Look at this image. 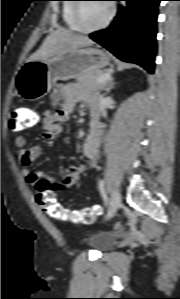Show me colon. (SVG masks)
<instances>
[{
  "instance_id": "obj_1",
  "label": "colon",
  "mask_w": 180,
  "mask_h": 299,
  "mask_svg": "<svg viewBox=\"0 0 180 299\" xmlns=\"http://www.w3.org/2000/svg\"><path fill=\"white\" fill-rule=\"evenodd\" d=\"M39 120L40 116L38 112L21 107L12 112L10 126L14 131L25 130L37 125ZM34 187L39 205L53 218L74 223L89 224L101 213V208L98 205L80 210H69L62 207L57 202L53 187L49 183L39 182Z\"/></svg>"
}]
</instances>
